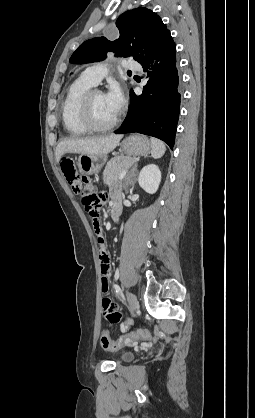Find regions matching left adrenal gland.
<instances>
[{"instance_id":"obj_1","label":"left adrenal gland","mask_w":255,"mask_h":418,"mask_svg":"<svg viewBox=\"0 0 255 418\" xmlns=\"http://www.w3.org/2000/svg\"><path fill=\"white\" fill-rule=\"evenodd\" d=\"M137 173V162L134 164V166L131 168L129 175L136 174ZM129 184V181L126 182V185L124 186L125 191L127 193V185ZM132 189L134 187V182H132Z\"/></svg>"}]
</instances>
